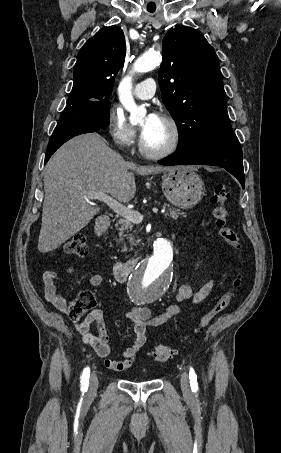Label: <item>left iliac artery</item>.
I'll use <instances>...</instances> for the list:
<instances>
[{"label": "left iliac artery", "instance_id": "1", "mask_svg": "<svg viewBox=\"0 0 281 453\" xmlns=\"http://www.w3.org/2000/svg\"><path fill=\"white\" fill-rule=\"evenodd\" d=\"M189 379H190L191 390L193 392L197 391L198 390L197 375L195 374L193 368H190Z\"/></svg>", "mask_w": 281, "mask_h": 453}]
</instances>
